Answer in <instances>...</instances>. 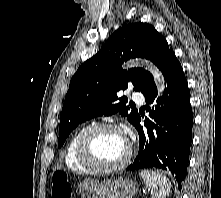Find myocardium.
I'll use <instances>...</instances> for the list:
<instances>
[{
    "label": "myocardium",
    "mask_w": 221,
    "mask_h": 198,
    "mask_svg": "<svg viewBox=\"0 0 221 198\" xmlns=\"http://www.w3.org/2000/svg\"><path fill=\"white\" fill-rule=\"evenodd\" d=\"M103 130H114L121 133L124 137L122 129L113 123L101 122L88 127L81 135L77 145V156L82 165L92 172L96 173H113L122 170L130 162L133 148L130 141L125 137L127 142V151L123 159L117 164L106 166L99 164L92 156L91 142L94 135Z\"/></svg>",
    "instance_id": "myocardium-1"
}]
</instances>
